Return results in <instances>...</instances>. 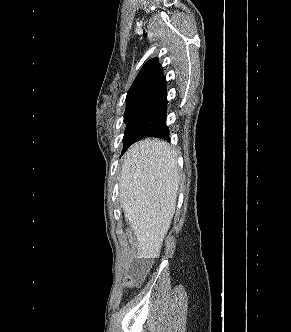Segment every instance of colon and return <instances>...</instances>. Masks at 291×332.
Returning <instances> with one entry per match:
<instances>
[{"label": "colon", "instance_id": "colon-1", "mask_svg": "<svg viewBox=\"0 0 291 332\" xmlns=\"http://www.w3.org/2000/svg\"><path fill=\"white\" fill-rule=\"evenodd\" d=\"M147 266L145 264H140L136 266L133 273L126 278V284L132 286L137 284L144 276Z\"/></svg>", "mask_w": 291, "mask_h": 332}]
</instances>
